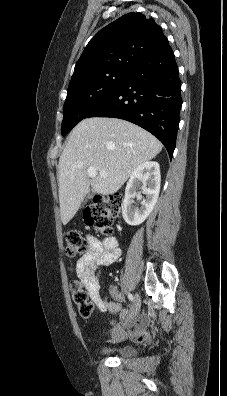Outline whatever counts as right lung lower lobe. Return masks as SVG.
Returning a JSON list of instances; mask_svg holds the SVG:
<instances>
[{
    "mask_svg": "<svg viewBox=\"0 0 227 396\" xmlns=\"http://www.w3.org/2000/svg\"><path fill=\"white\" fill-rule=\"evenodd\" d=\"M180 93L178 67L168 44L137 64L122 85L86 118L114 117L137 124L156 136L171 158L182 106Z\"/></svg>",
    "mask_w": 227,
    "mask_h": 396,
    "instance_id": "1",
    "label": "right lung lower lobe"
}]
</instances>
